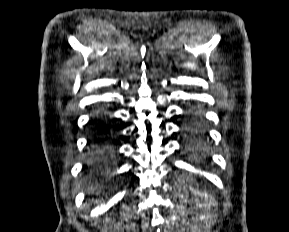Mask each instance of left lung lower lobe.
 I'll return each mask as SVG.
<instances>
[{
  "mask_svg": "<svg viewBox=\"0 0 289 232\" xmlns=\"http://www.w3.org/2000/svg\"><path fill=\"white\" fill-rule=\"evenodd\" d=\"M191 120L190 121H193V122H198V123H200V124H202L203 126H204V124H203V122L201 121V119H200V117L196 114V113H193V114H191ZM205 128V127H204Z\"/></svg>",
  "mask_w": 289,
  "mask_h": 232,
  "instance_id": "obj_1",
  "label": "left lung lower lobe"
}]
</instances>
